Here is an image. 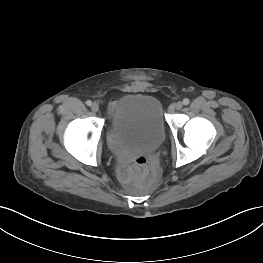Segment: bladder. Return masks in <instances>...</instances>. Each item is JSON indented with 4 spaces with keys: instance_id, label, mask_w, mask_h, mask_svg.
Masks as SVG:
<instances>
[{
    "instance_id": "bladder-1",
    "label": "bladder",
    "mask_w": 263,
    "mask_h": 263,
    "mask_svg": "<svg viewBox=\"0 0 263 263\" xmlns=\"http://www.w3.org/2000/svg\"><path fill=\"white\" fill-rule=\"evenodd\" d=\"M111 133L126 150L149 153L165 140V124L160 102L145 94H126L116 104Z\"/></svg>"
}]
</instances>
